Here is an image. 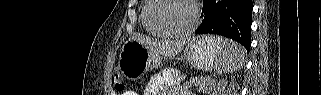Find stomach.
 Segmentation results:
<instances>
[{
  "label": "stomach",
  "instance_id": "stomach-1",
  "mask_svg": "<svg viewBox=\"0 0 321 95\" xmlns=\"http://www.w3.org/2000/svg\"><path fill=\"white\" fill-rule=\"evenodd\" d=\"M222 52L223 47L217 42V37L195 38L184 48L186 59L194 67L203 71L212 70ZM160 62V55L147 49L138 41L129 40L120 50L118 69L126 78L138 80L157 67Z\"/></svg>",
  "mask_w": 321,
  "mask_h": 95
}]
</instances>
